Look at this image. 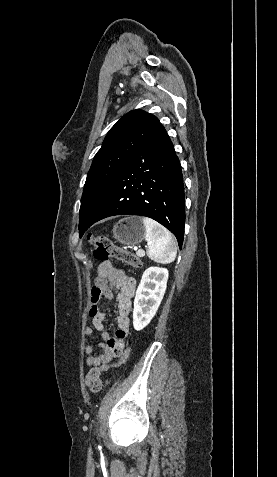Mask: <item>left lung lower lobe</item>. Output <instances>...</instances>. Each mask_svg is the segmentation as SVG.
<instances>
[{"label":"left lung lower lobe","instance_id":"1","mask_svg":"<svg viewBox=\"0 0 277 477\" xmlns=\"http://www.w3.org/2000/svg\"><path fill=\"white\" fill-rule=\"evenodd\" d=\"M184 197L180 162L164 129L118 171L91 219L79 229L80 237L99 220L133 214L152 218L165 226L176 236L181 248Z\"/></svg>","mask_w":277,"mask_h":477}]
</instances>
